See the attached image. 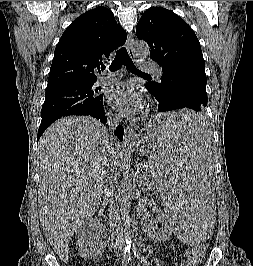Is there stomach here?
Segmentation results:
<instances>
[{"label": "stomach", "mask_w": 253, "mask_h": 266, "mask_svg": "<svg viewBox=\"0 0 253 266\" xmlns=\"http://www.w3.org/2000/svg\"><path fill=\"white\" fill-rule=\"evenodd\" d=\"M182 111H185V110H182ZM145 138H146V142L136 141L132 143L131 146L136 148L137 151L141 153V155L146 156L148 160H150L149 153L151 150V145H155V139L157 137L154 135V131L149 130Z\"/></svg>", "instance_id": "obj_1"}]
</instances>
